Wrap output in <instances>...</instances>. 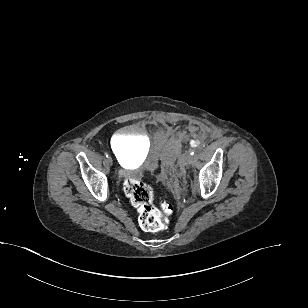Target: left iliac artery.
<instances>
[{"label": "left iliac artery", "instance_id": "obj_1", "mask_svg": "<svg viewBox=\"0 0 308 308\" xmlns=\"http://www.w3.org/2000/svg\"><path fill=\"white\" fill-rule=\"evenodd\" d=\"M194 153H195V151H194V150H192V151H191V155H194Z\"/></svg>", "mask_w": 308, "mask_h": 308}]
</instances>
